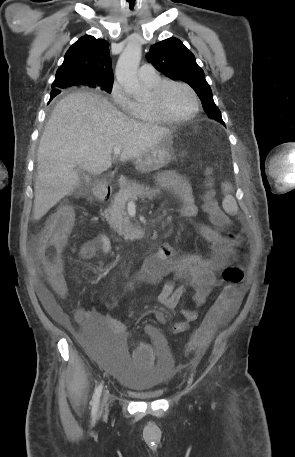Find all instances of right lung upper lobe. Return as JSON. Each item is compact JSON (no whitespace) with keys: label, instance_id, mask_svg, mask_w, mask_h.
I'll list each match as a JSON object with an SVG mask.
<instances>
[{"label":"right lung upper lobe","instance_id":"obj_1","mask_svg":"<svg viewBox=\"0 0 295 457\" xmlns=\"http://www.w3.org/2000/svg\"><path fill=\"white\" fill-rule=\"evenodd\" d=\"M108 47L103 39L89 35L79 38L65 54L64 62L56 72L53 90L59 91L69 84L91 87L113 83Z\"/></svg>","mask_w":295,"mask_h":457}]
</instances>
